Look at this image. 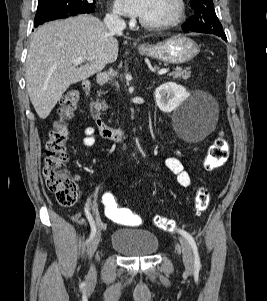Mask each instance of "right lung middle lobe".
Instances as JSON below:
<instances>
[{"instance_id":"dd1d6c3e","label":"right lung middle lobe","mask_w":267,"mask_h":301,"mask_svg":"<svg viewBox=\"0 0 267 301\" xmlns=\"http://www.w3.org/2000/svg\"><path fill=\"white\" fill-rule=\"evenodd\" d=\"M95 10V0H38L34 22H39L52 15L84 14Z\"/></svg>"}]
</instances>
